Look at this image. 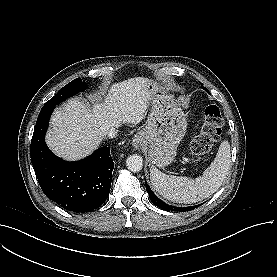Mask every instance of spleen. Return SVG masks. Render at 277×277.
I'll return each mask as SVG.
<instances>
[{
  "label": "spleen",
  "instance_id": "1",
  "mask_svg": "<svg viewBox=\"0 0 277 277\" xmlns=\"http://www.w3.org/2000/svg\"><path fill=\"white\" fill-rule=\"evenodd\" d=\"M230 144L221 142L216 157L210 166L197 178L167 175L151 166L150 180L154 189L164 198L178 203L201 201L222 185L230 170Z\"/></svg>",
  "mask_w": 277,
  "mask_h": 277
}]
</instances>
